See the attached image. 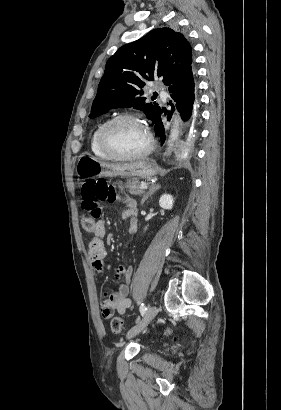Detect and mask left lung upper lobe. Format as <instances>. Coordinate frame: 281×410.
Returning a JSON list of instances; mask_svg holds the SVG:
<instances>
[{"label":"left lung upper lobe","instance_id":"1","mask_svg":"<svg viewBox=\"0 0 281 410\" xmlns=\"http://www.w3.org/2000/svg\"><path fill=\"white\" fill-rule=\"evenodd\" d=\"M193 70L192 48L185 36L170 28L154 29L108 59L89 118L113 108L133 107L153 122L160 107L142 97L145 79L161 78L170 87Z\"/></svg>","mask_w":281,"mask_h":410}]
</instances>
